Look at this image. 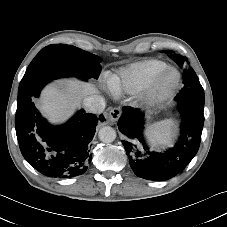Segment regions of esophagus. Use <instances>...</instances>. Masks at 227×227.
<instances>
[{
	"instance_id": "obj_1",
	"label": "esophagus",
	"mask_w": 227,
	"mask_h": 227,
	"mask_svg": "<svg viewBox=\"0 0 227 227\" xmlns=\"http://www.w3.org/2000/svg\"><path fill=\"white\" fill-rule=\"evenodd\" d=\"M121 115V110L120 108H113L110 110V112L108 113V120L110 122H115L119 119ZM100 124H104V121L102 122L101 120H99Z\"/></svg>"
}]
</instances>
